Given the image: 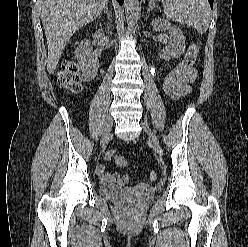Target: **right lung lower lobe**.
<instances>
[{
	"label": "right lung lower lobe",
	"instance_id": "1",
	"mask_svg": "<svg viewBox=\"0 0 248 247\" xmlns=\"http://www.w3.org/2000/svg\"><path fill=\"white\" fill-rule=\"evenodd\" d=\"M119 2V4H123L124 0H117Z\"/></svg>",
	"mask_w": 248,
	"mask_h": 247
}]
</instances>
